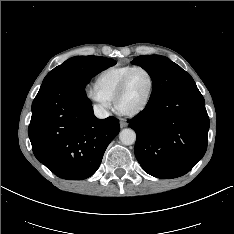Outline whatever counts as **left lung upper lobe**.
Returning <instances> with one entry per match:
<instances>
[{
	"label": "left lung upper lobe",
	"mask_w": 234,
	"mask_h": 234,
	"mask_svg": "<svg viewBox=\"0 0 234 234\" xmlns=\"http://www.w3.org/2000/svg\"><path fill=\"white\" fill-rule=\"evenodd\" d=\"M132 64L145 69L152 79L153 89L148 104L153 103L178 85L193 80L179 65L161 55L138 56Z\"/></svg>",
	"instance_id": "left-lung-upper-lobe-1"
}]
</instances>
